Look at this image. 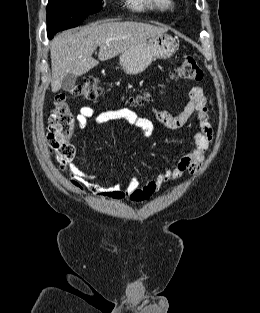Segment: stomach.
I'll list each match as a JSON object with an SVG mask.
<instances>
[{
  "label": "stomach",
  "mask_w": 260,
  "mask_h": 313,
  "mask_svg": "<svg viewBox=\"0 0 260 313\" xmlns=\"http://www.w3.org/2000/svg\"><path fill=\"white\" fill-rule=\"evenodd\" d=\"M178 44L171 35L160 34L137 43L122 52L119 58L121 69L130 75L143 72L156 59H167L175 54Z\"/></svg>",
  "instance_id": "obj_1"
}]
</instances>
